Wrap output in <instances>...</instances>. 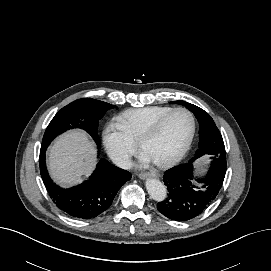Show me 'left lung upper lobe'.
<instances>
[{
  "mask_svg": "<svg viewBox=\"0 0 271 271\" xmlns=\"http://www.w3.org/2000/svg\"><path fill=\"white\" fill-rule=\"evenodd\" d=\"M172 103L181 104L188 108L194 113L200 123L199 149L196 151L195 157L192 158L189 163L194 162L197 158L209 155L212 159L211 168L219 171H226L225 146L222 136L213 119L206 111L188 102L173 101Z\"/></svg>",
  "mask_w": 271,
  "mask_h": 271,
  "instance_id": "left-lung-upper-lobe-1",
  "label": "left lung upper lobe"
}]
</instances>
